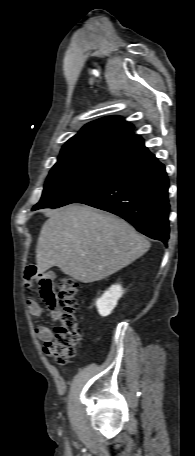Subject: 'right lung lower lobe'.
Here are the masks:
<instances>
[{
  "instance_id": "1",
  "label": "right lung lower lobe",
  "mask_w": 195,
  "mask_h": 456,
  "mask_svg": "<svg viewBox=\"0 0 195 456\" xmlns=\"http://www.w3.org/2000/svg\"><path fill=\"white\" fill-rule=\"evenodd\" d=\"M168 188L165 167L151 154L124 168L107 184L76 203L116 214L144 235L167 244Z\"/></svg>"
}]
</instances>
